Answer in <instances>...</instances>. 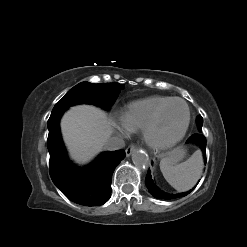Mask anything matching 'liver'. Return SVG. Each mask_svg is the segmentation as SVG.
I'll return each instance as SVG.
<instances>
[{"label":"liver","mask_w":247,"mask_h":247,"mask_svg":"<svg viewBox=\"0 0 247 247\" xmlns=\"http://www.w3.org/2000/svg\"><path fill=\"white\" fill-rule=\"evenodd\" d=\"M61 131L71 158L85 164L105 148L113 127L101 109L77 105L64 114Z\"/></svg>","instance_id":"obj_1"}]
</instances>
